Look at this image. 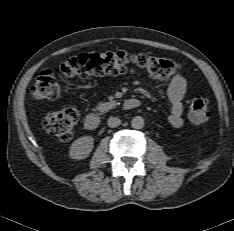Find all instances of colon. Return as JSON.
Returning <instances> with one entry per match:
<instances>
[{
	"mask_svg": "<svg viewBox=\"0 0 234 231\" xmlns=\"http://www.w3.org/2000/svg\"><path fill=\"white\" fill-rule=\"evenodd\" d=\"M129 69L144 72L154 79L167 80L179 71L180 64L142 53L88 52L73 56L63 62L60 72L65 78L86 79L92 76L123 74ZM32 93L38 99L55 100L60 96L61 88L52 72L43 71L37 75ZM78 118L77 109L70 106L45 115L42 119V127L58 140L69 141L74 135ZM188 118L194 125H202L208 121L209 110L204 98L193 99L189 107Z\"/></svg>",
	"mask_w": 234,
	"mask_h": 231,
	"instance_id": "5ec220e1",
	"label": "colon"
}]
</instances>
